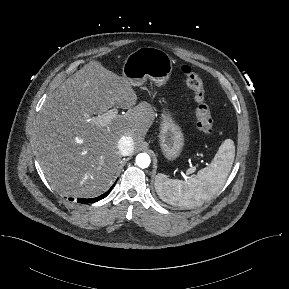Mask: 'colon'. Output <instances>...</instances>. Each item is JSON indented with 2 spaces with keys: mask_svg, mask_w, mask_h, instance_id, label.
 Listing matches in <instances>:
<instances>
[{
  "mask_svg": "<svg viewBox=\"0 0 289 289\" xmlns=\"http://www.w3.org/2000/svg\"><path fill=\"white\" fill-rule=\"evenodd\" d=\"M181 70L185 75L186 85L193 92L196 102L195 116L197 128L203 136H210L213 133L214 119L210 107L205 101L203 82L191 66L183 64Z\"/></svg>",
  "mask_w": 289,
  "mask_h": 289,
  "instance_id": "obj_1",
  "label": "colon"
}]
</instances>
